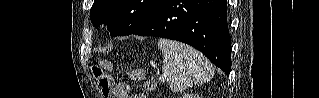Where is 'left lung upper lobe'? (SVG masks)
<instances>
[{"instance_id":"obj_1","label":"left lung upper lobe","mask_w":319,"mask_h":98,"mask_svg":"<svg viewBox=\"0 0 319 98\" xmlns=\"http://www.w3.org/2000/svg\"><path fill=\"white\" fill-rule=\"evenodd\" d=\"M161 0H94L90 19L97 28L106 23L111 36L129 35L141 28Z\"/></svg>"}]
</instances>
